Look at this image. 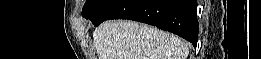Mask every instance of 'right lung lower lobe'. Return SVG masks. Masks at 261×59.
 Returning <instances> with one entry per match:
<instances>
[{"label":"right lung lower lobe","mask_w":261,"mask_h":59,"mask_svg":"<svg viewBox=\"0 0 261 59\" xmlns=\"http://www.w3.org/2000/svg\"><path fill=\"white\" fill-rule=\"evenodd\" d=\"M87 19L95 26L109 19H131L177 34L194 47L198 41L196 0H114Z\"/></svg>","instance_id":"98d812e1"}]
</instances>
